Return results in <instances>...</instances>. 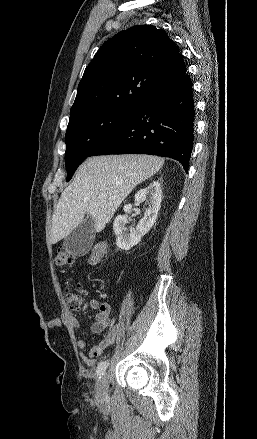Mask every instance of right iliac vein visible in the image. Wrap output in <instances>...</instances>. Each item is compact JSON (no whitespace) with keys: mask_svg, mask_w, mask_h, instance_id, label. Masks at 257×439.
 <instances>
[{"mask_svg":"<svg viewBox=\"0 0 257 439\" xmlns=\"http://www.w3.org/2000/svg\"><path fill=\"white\" fill-rule=\"evenodd\" d=\"M96 398L99 401H105L108 398V377L103 374L97 386Z\"/></svg>","mask_w":257,"mask_h":439,"instance_id":"right-iliac-vein-1","label":"right iliac vein"}]
</instances>
